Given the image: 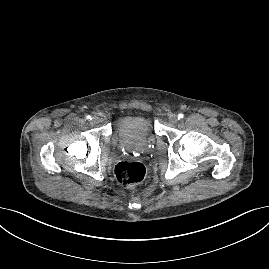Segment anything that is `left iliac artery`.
I'll list each match as a JSON object with an SVG mask.
<instances>
[{
	"label": "left iliac artery",
	"mask_w": 269,
	"mask_h": 269,
	"mask_svg": "<svg viewBox=\"0 0 269 269\" xmlns=\"http://www.w3.org/2000/svg\"><path fill=\"white\" fill-rule=\"evenodd\" d=\"M184 118V115L182 113L178 114V119H183Z\"/></svg>",
	"instance_id": "left-iliac-artery-1"
}]
</instances>
